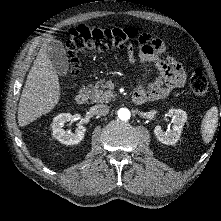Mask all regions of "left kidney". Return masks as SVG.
<instances>
[{
  "instance_id": "1",
  "label": "left kidney",
  "mask_w": 221,
  "mask_h": 221,
  "mask_svg": "<svg viewBox=\"0 0 221 221\" xmlns=\"http://www.w3.org/2000/svg\"><path fill=\"white\" fill-rule=\"evenodd\" d=\"M167 115L172 117V130L163 131L162 127L157 125L154 134L161 143L174 145L180 138L184 123L187 120V114L184 110L171 108Z\"/></svg>"
}]
</instances>
